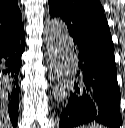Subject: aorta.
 Masks as SVG:
<instances>
[{
    "mask_svg": "<svg viewBox=\"0 0 125 128\" xmlns=\"http://www.w3.org/2000/svg\"><path fill=\"white\" fill-rule=\"evenodd\" d=\"M44 36L50 60L52 95L57 102L63 103L73 89L76 73L72 38L65 23L58 18L47 19Z\"/></svg>",
    "mask_w": 125,
    "mask_h": 128,
    "instance_id": "obj_1",
    "label": "aorta"
}]
</instances>
